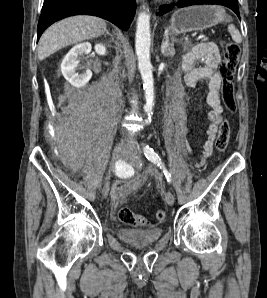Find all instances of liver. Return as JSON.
Returning a JSON list of instances; mask_svg holds the SVG:
<instances>
[{
    "instance_id": "liver-1",
    "label": "liver",
    "mask_w": 267,
    "mask_h": 298,
    "mask_svg": "<svg viewBox=\"0 0 267 298\" xmlns=\"http://www.w3.org/2000/svg\"><path fill=\"white\" fill-rule=\"evenodd\" d=\"M106 32L103 19L94 16H74L49 27L41 36L38 58L44 60L58 50L81 41L97 38Z\"/></svg>"
}]
</instances>
